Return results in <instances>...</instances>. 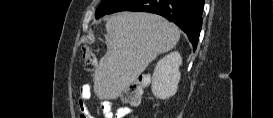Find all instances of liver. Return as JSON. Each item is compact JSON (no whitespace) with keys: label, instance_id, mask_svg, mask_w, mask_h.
Instances as JSON below:
<instances>
[{"label":"liver","instance_id":"obj_1","mask_svg":"<svg viewBox=\"0 0 273 118\" xmlns=\"http://www.w3.org/2000/svg\"><path fill=\"white\" fill-rule=\"evenodd\" d=\"M107 52L94 72V92L100 100L117 99L158 54L169 52L180 30L161 16L120 12L105 25Z\"/></svg>","mask_w":273,"mask_h":118}]
</instances>
